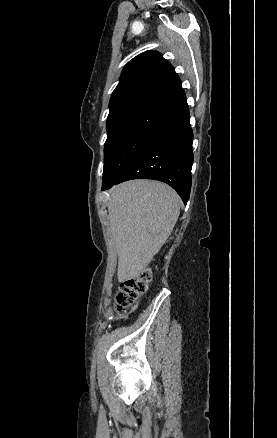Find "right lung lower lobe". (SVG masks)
I'll return each mask as SVG.
<instances>
[{"label":"right lung lower lobe","instance_id":"right-lung-lower-lobe-1","mask_svg":"<svg viewBox=\"0 0 277 438\" xmlns=\"http://www.w3.org/2000/svg\"><path fill=\"white\" fill-rule=\"evenodd\" d=\"M190 117L186 98L172 105L144 146L119 177L102 190L131 179H154L174 188L186 204L191 190L193 164Z\"/></svg>","mask_w":277,"mask_h":438}]
</instances>
